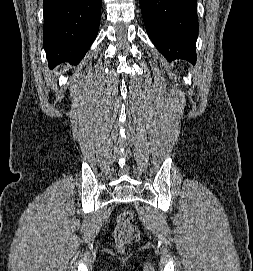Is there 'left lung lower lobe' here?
I'll list each match as a JSON object with an SVG mask.
<instances>
[{
	"instance_id": "0a47b994",
	"label": "left lung lower lobe",
	"mask_w": 253,
	"mask_h": 271,
	"mask_svg": "<svg viewBox=\"0 0 253 271\" xmlns=\"http://www.w3.org/2000/svg\"><path fill=\"white\" fill-rule=\"evenodd\" d=\"M147 33L169 60L195 64L198 37L197 0H139Z\"/></svg>"
}]
</instances>
